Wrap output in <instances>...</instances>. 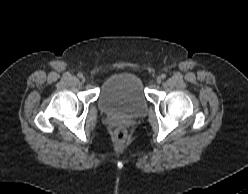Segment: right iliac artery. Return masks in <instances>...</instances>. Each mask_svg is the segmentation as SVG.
Wrapping results in <instances>:
<instances>
[{
    "instance_id": "right-iliac-artery-1",
    "label": "right iliac artery",
    "mask_w": 248,
    "mask_h": 194,
    "mask_svg": "<svg viewBox=\"0 0 248 194\" xmlns=\"http://www.w3.org/2000/svg\"><path fill=\"white\" fill-rule=\"evenodd\" d=\"M78 77L79 78H82L83 77V74L82 73H78Z\"/></svg>"
}]
</instances>
